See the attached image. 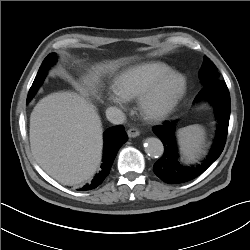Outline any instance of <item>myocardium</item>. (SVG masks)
<instances>
[{
	"label": "myocardium",
	"mask_w": 250,
	"mask_h": 250,
	"mask_svg": "<svg viewBox=\"0 0 250 250\" xmlns=\"http://www.w3.org/2000/svg\"><path fill=\"white\" fill-rule=\"evenodd\" d=\"M176 82L172 94L162 103L157 104L158 96L165 84ZM187 78L180 72L172 71L154 81L139 97L138 108L142 116L149 122H159L165 119L178 105L185 95Z\"/></svg>",
	"instance_id": "1"
}]
</instances>
